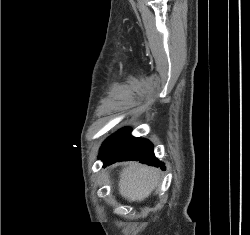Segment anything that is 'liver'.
Returning <instances> with one entry per match:
<instances>
[{"label": "liver", "mask_w": 250, "mask_h": 235, "mask_svg": "<svg viewBox=\"0 0 250 235\" xmlns=\"http://www.w3.org/2000/svg\"><path fill=\"white\" fill-rule=\"evenodd\" d=\"M158 179L157 169L129 162L120 173L119 193L130 202H141L156 188Z\"/></svg>", "instance_id": "1"}]
</instances>
